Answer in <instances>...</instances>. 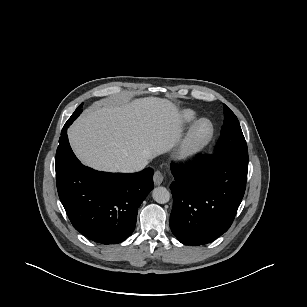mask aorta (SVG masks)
Wrapping results in <instances>:
<instances>
[{"label":"aorta","mask_w":307,"mask_h":307,"mask_svg":"<svg viewBox=\"0 0 307 307\" xmlns=\"http://www.w3.org/2000/svg\"><path fill=\"white\" fill-rule=\"evenodd\" d=\"M153 199L159 204H165L170 200V192L165 187H156L152 191Z\"/></svg>","instance_id":"1"}]
</instances>
